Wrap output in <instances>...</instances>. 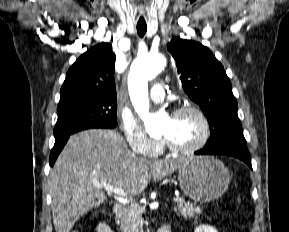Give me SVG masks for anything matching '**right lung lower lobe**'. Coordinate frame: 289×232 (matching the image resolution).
<instances>
[{
  "mask_svg": "<svg viewBox=\"0 0 289 232\" xmlns=\"http://www.w3.org/2000/svg\"><path fill=\"white\" fill-rule=\"evenodd\" d=\"M70 135L55 139V144H54V147L50 153V158H49L50 166L54 165L59 153L63 149V147H64L65 143L67 142V140L69 139Z\"/></svg>",
  "mask_w": 289,
  "mask_h": 232,
  "instance_id": "obj_1",
  "label": "right lung lower lobe"
}]
</instances>
